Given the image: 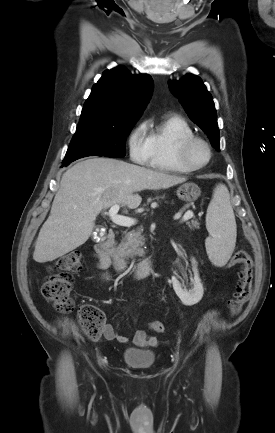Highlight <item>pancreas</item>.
I'll return each instance as SVG.
<instances>
[{
  "instance_id": "1",
  "label": "pancreas",
  "mask_w": 275,
  "mask_h": 433,
  "mask_svg": "<svg viewBox=\"0 0 275 433\" xmlns=\"http://www.w3.org/2000/svg\"><path fill=\"white\" fill-rule=\"evenodd\" d=\"M190 229H199L200 223L197 220H192L188 223ZM142 236L139 230L126 232L122 237L120 244L117 247L118 252L125 259L134 258V256L143 254Z\"/></svg>"
}]
</instances>
